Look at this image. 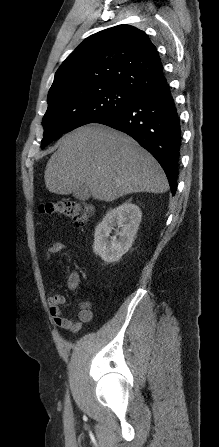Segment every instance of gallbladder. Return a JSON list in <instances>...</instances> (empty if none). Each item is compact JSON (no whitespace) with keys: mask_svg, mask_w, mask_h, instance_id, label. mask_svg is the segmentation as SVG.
I'll list each match as a JSON object with an SVG mask.
<instances>
[{"mask_svg":"<svg viewBox=\"0 0 219 447\" xmlns=\"http://www.w3.org/2000/svg\"><path fill=\"white\" fill-rule=\"evenodd\" d=\"M73 196L81 201H86L90 198V191L85 184L81 185L78 189L73 191Z\"/></svg>","mask_w":219,"mask_h":447,"instance_id":"gallbladder-1","label":"gallbladder"}]
</instances>
